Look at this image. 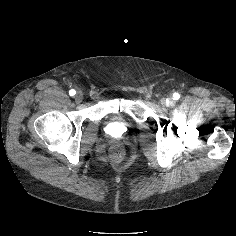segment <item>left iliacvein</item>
<instances>
[{
    "label": "left iliac vein",
    "mask_w": 236,
    "mask_h": 236,
    "mask_svg": "<svg viewBox=\"0 0 236 236\" xmlns=\"http://www.w3.org/2000/svg\"><path fill=\"white\" fill-rule=\"evenodd\" d=\"M161 104L163 106H173L175 104V101L173 99H171V98H169V99L163 98L161 100Z\"/></svg>",
    "instance_id": "4c4485c4"
}]
</instances>
